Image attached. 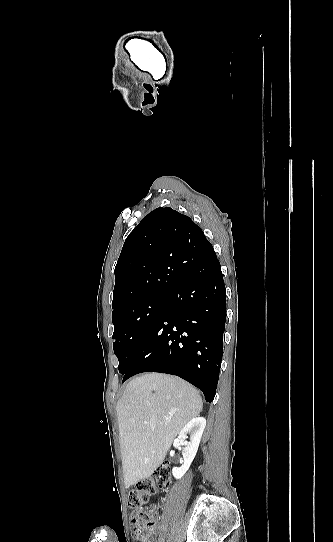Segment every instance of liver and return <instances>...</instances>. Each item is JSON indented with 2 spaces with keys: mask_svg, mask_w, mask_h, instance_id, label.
<instances>
[{
  "mask_svg": "<svg viewBox=\"0 0 333 542\" xmlns=\"http://www.w3.org/2000/svg\"><path fill=\"white\" fill-rule=\"evenodd\" d=\"M202 406L199 392L176 376L145 372L127 384L116 406L126 490L152 476Z\"/></svg>",
  "mask_w": 333,
  "mask_h": 542,
  "instance_id": "obj_1",
  "label": "liver"
}]
</instances>
